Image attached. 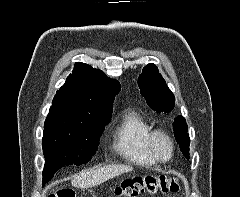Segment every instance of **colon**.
I'll return each mask as SVG.
<instances>
[{
    "mask_svg": "<svg viewBox=\"0 0 240 197\" xmlns=\"http://www.w3.org/2000/svg\"><path fill=\"white\" fill-rule=\"evenodd\" d=\"M179 184L173 177L147 174L135 175L124 179L114 190V197H135L141 193H175ZM48 197H75L71 189H62Z\"/></svg>",
    "mask_w": 240,
    "mask_h": 197,
    "instance_id": "colon-1",
    "label": "colon"
}]
</instances>
